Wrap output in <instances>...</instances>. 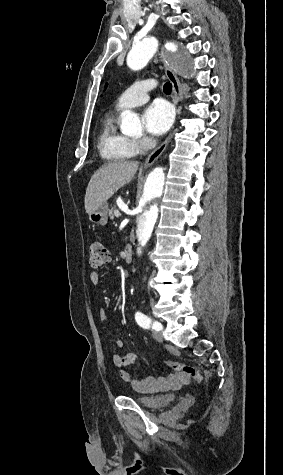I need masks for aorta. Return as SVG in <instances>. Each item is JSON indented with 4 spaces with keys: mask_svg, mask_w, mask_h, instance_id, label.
<instances>
[{
    "mask_svg": "<svg viewBox=\"0 0 283 475\" xmlns=\"http://www.w3.org/2000/svg\"><path fill=\"white\" fill-rule=\"evenodd\" d=\"M157 48L158 41L154 37L145 38L133 45L127 55L128 66L132 70L142 69L156 53ZM166 48L172 52L177 51V46L173 43H167ZM179 63L182 66L187 64L184 58H180ZM120 128L126 135H134L142 130L139 117L130 110L122 112ZM170 176L171 173L164 167H156L137 186L133 223L137 239L136 254L138 257L141 256L159 220L162 219L166 194L168 186H170Z\"/></svg>",
    "mask_w": 283,
    "mask_h": 475,
    "instance_id": "aorta-1",
    "label": "aorta"
}]
</instances>
